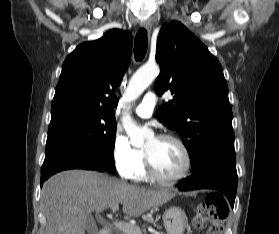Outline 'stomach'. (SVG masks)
I'll return each instance as SVG.
<instances>
[{
    "instance_id": "obj_1",
    "label": "stomach",
    "mask_w": 279,
    "mask_h": 234,
    "mask_svg": "<svg viewBox=\"0 0 279 234\" xmlns=\"http://www.w3.org/2000/svg\"><path fill=\"white\" fill-rule=\"evenodd\" d=\"M163 223L167 234H183L188 219L181 208L171 207L164 212Z\"/></svg>"
}]
</instances>
